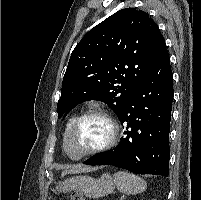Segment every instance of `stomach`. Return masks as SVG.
Wrapping results in <instances>:
<instances>
[{
	"label": "stomach",
	"mask_w": 201,
	"mask_h": 200,
	"mask_svg": "<svg viewBox=\"0 0 201 200\" xmlns=\"http://www.w3.org/2000/svg\"><path fill=\"white\" fill-rule=\"evenodd\" d=\"M112 177L105 173L96 179L90 176H76L60 182L54 189L55 193L78 191L90 198H98L108 195L114 191Z\"/></svg>",
	"instance_id": "1"
}]
</instances>
